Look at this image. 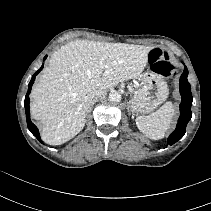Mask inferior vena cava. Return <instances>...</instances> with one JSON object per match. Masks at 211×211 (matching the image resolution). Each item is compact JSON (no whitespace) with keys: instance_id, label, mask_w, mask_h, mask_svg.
Returning a JSON list of instances; mask_svg holds the SVG:
<instances>
[{"instance_id":"1","label":"inferior vena cava","mask_w":211,"mask_h":211,"mask_svg":"<svg viewBox=\"0 0 211 211\" xmlns=\"http://www.w3.org/2000/svg\"><path fill=\"white\" fill-rule=\"evenodd\" d=\"M104 93H105V90H103V89H97V90H95L94 93H93L94 100H96L99 97H101L102 95H104Z\"/></svg>"}]
</instances>
